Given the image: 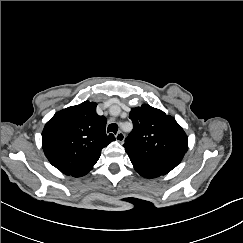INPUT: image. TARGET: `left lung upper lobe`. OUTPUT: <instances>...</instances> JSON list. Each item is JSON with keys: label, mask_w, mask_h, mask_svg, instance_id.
<instances>
[{"label": "left lung upper lobe", "mask_w": 243, "mask_h": 243, "mask_svg": "<svg viewBox=\"0 0 243 243\" xmlns=\"http://www.w3.org/2000/svg\"><path fill=\"white\" fill-rule=\"evenodd\" d=\"M134 128L125 140L130 158L176 167L188 149V137L176 120L163 111L143 104L129 114Z\"/></svg>", "instance_id": "obj_1"}]
</instances>
